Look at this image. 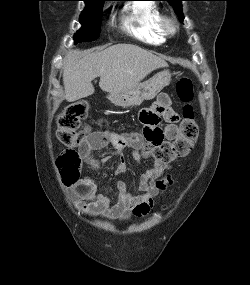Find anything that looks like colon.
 I'll list each match as a JSON object with an SVG mask.
<instances>
[{
  "label": "colon",
  "instance_id": "obj_1",
  "mask_svg": "<svg viewBox=\"0 0 250 285\" xmlns=\"http://www.w3.org/2000/svg\"><path fill=\"white\" fill-rule=\"evenodd\" d=\"M179 99L185 104L178 136L161 147H146L145 154L155 160L170 162L179 159L190 152L198 138V125L195 121L192 100L194 97L192 81L183 77L176 84ZM89 104L86 101H77L69 105L65 113L58 120L57 137L66 147L57 158V166L63 181L72 185L79 180L81 158L74 150L85 138V131L81 130V123L89 114Z\"/></svg>",
  "mask_w": 250,
  "mask_h": 285
}]
</instances>
